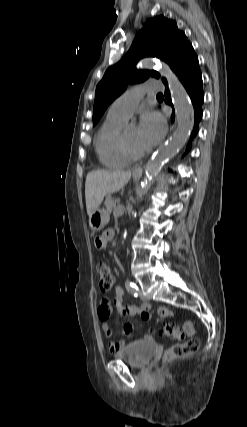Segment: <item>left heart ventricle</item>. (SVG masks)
<instances>
[{
  "instance_id": "left-heart-ventricle-1",
  "label": "left heart ventricle",
  "mask_w": 247,
  "mask_h": 427,
  "mask_svg": "<svg viewBox=\"0 0 247 427\" xmlns=\"http://www.w3.org/2000/svg\"><path fill=\"white\" fill-rule=\"evenodd\" d=\"M125 137L126 140L129 144V146L134 150V151H143L145 150V148L141 145L140 140H139V136H138V129L136 128H131L125 131Z\"/></svg>"
}]
</instances>
